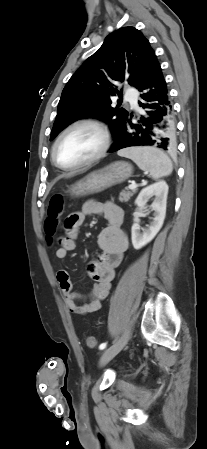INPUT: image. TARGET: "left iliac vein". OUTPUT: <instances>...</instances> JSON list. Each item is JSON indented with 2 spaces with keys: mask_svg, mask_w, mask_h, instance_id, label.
Instances as JSON below:
<instances>
[{
  "mask_svg": "<svg viewBox=\"0 0 207 449\" xmlns=\"http://www.w3.org/2000/svg\"><path fill=\"white\" fill-rule=\"evenodd\" d=\"M130 331H127L118 341H116L112 346L107 348L100 358V364L105 365L108 363L112 358H114L127 344L128 340L130 339Z\"/></svg>",
  "mask_w": 207,
  "mask_h": 449,
  "instance_id": "obj_1",
  "label": "left iliac vein"
}]
</instances>
